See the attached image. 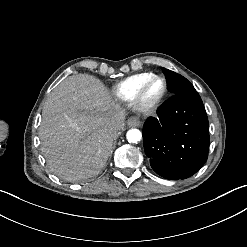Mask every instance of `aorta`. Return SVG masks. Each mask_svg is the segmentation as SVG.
<instances>
[{
    "label": "aorta",
    "instance_id": "1",
    "mask_svg": "<svg viewBox=\"0 0 247 247\" xmlns=\"http://www.w3.org/2000/svg\"><path fill=\"white\" fill-rule=\"evenodd\" d=\"M127 140L130 143H137L141 140L142 134L138 129H131L126 134Z\"/></svg>",
    "mask_w": 247,
    "mask_h": 247
}]
</instances>
